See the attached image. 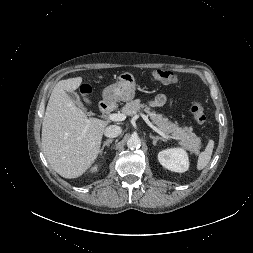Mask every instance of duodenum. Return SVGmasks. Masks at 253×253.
Listing matches in <instances>:
<instances>
[{
	"mask_svg": "<svg viewBox=\"0 0 253 253\" xmlns=\"http://www.w3.org/2000/svg\"><path fill=\"white\" fill-rule=\"evenodd\" d=\"M111 109V104L108 101H103L100 104V110L102 113H107Z\"/></svg>",
	"mask_w": 253,
	"mask_h": 253,
	"instance_id": "obj_1",
	"label": "duodenum"
}]
</instances>
